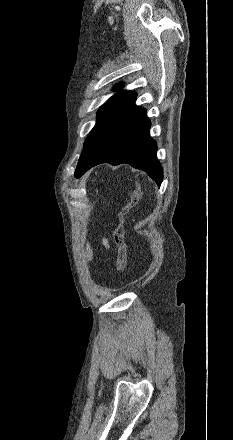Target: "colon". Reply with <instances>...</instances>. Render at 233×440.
I'll return each instance as SVG.
<instances>
[{"label": "colon", "mask_w": 233, "mask_h": 440, "mask_svg": "<svg viewBox=\"0 0 233 440\" xmlns=\"http://www.w3.org/2000/svg\"><path fill=\"white\" fill-rule=\"evenodd\" d=\"M141 197L138 188L132 190L129 201L121 208L118 214V224L113 233V242L117 249V272L122 275L125 272L127 264V249L124 242V219L125 216L137 205Z\"/></svg>", "instance_id": "1"}]
</instances>
